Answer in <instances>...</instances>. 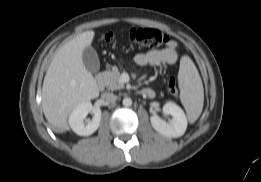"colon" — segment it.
I'll use <instances>...</instances> for the list:
<instances>
[{"label": "colon", "instance_id": "1", "mask_svg": "<svg viewBox=\"0 0 261 182\" xmlns=\"http://www.w3.org/2000/svg\"><path fill=\"white\" fill-rule=\"evenodd\" d=\"M113 38V34L104 35L106 41H110ZM128 38L133 45L139 48L153 49L169 42L168 36L161 31L144 27L132 28L128 33ZM167 90L169 94L173 96L177 95L176 83L173 78L167 82Z\"/></svg>", "mask_w": 261, "mask_h": 182}]
</instances>
